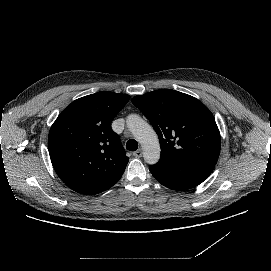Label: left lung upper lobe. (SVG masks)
I'll return each mask as SVG.
<instances>
[{
  "mask_svg": "<svg viewBox=\"0 0 271 271\" xmlns=\"http://www.w3.org/2000/svg\"><path fill=\"white\" fill-rule=\"evenodd\" d=\"M158 134L161 155L216 165L221 138L213 114L198 99L160 89L132 99Z\"/></svg>",
  "mask_w": 271,
  "mask_h": 271,
  "instance_id": "1",
  "label": "left lung upper lobe"
}]
</instances>
